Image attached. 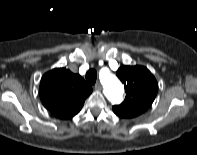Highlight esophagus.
Instances as JSON below:
<instances>
[{
	"label": "esophagus",
	"mask_w": 197,
	"mask_h": 155,
	"mask_svg": "<svg viewBox=\"0 0 197 155\" xmlns=\"http://www.w3.org/2000/svg\"><path fill=\"white\" fill-rule=\"evenodd\" d=\"M95 90H98V91H100L101 89H102V86H101V84L98 82V83H96L95 84Z\"/></svg>",
	"instance_id": "1"
}]
</instances>
